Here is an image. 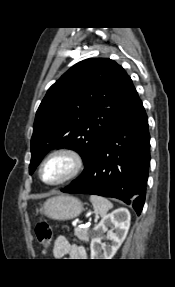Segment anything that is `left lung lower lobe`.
Masks as SVG:
<instances>
[{"label":"left lung lower lobe","mask_w":175,"mask_h":287,"mask_svg":"<svg viewBox=\"0 0 175 287\" xmlns=\"http://www.w3.org/2000/svg\"><path fill=\"white\" fill-rule=\"evenodd\" d=\"M149 165L148 119L139 98L101 141L87 173L62 192L114 197L132 205L140 215Z\"/></svg>","instance_id":"obj_1"}]
</instances>
